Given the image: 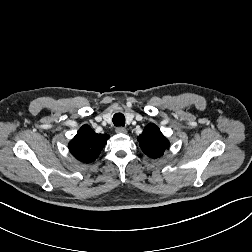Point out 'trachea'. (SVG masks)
<instances>
[{
	"label": "trachea",
	"instance_id": "obj_1",
	"mask_svg": "<svg viewBox=\"0 0 252 252\" xmlns=\"http://www.w3.org/2000/svg\"><path fill=\"white\" fill-rule=\"evenodd\" d=\"M112 121L115 126H119V127L124 126L125 125V116L120 112L116 113V114H114Z\"/></svg>",
	"mask_w": 252,
	"mask_h": 252
}]
</instances>
